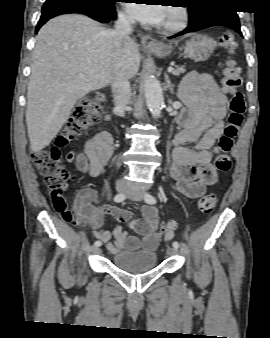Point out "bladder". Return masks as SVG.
Here are the masks:
<instances>
[{"instance_id": "1", "label": "bladder", "mask_w": 270, "mask_h": 338, "mask_svg": "<svg viewBox=\"0 0 270 338\" xmlns=\"http://www.w3.org/2000/svg\"><path fill=\"white\" fill-rule=\"evenodd\" d=\"M111 263L119 270L140 274L153 270L157 266V254L155 251L129 252L122 250L113 256Z\"/></svg>"}]
</instances>
